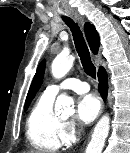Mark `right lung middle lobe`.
<instances>
[{
  "label": "right lung middle lobe",
  "instance_id": "obj_1",
  "mask_svg": "<svg viewBox=\"0 0 130 153\" xmlns=\"http://www.w3.org/2000/svg\"><path fill=\"white\" fill-rule=\"evenodd\" d=\"M31 103V101L30 102H27V103H25V111L27 110V108H28V106H29V104Z\"/></svg>",
  "mask_w": 130,
  "mask_h": 153
}]
</instances>
